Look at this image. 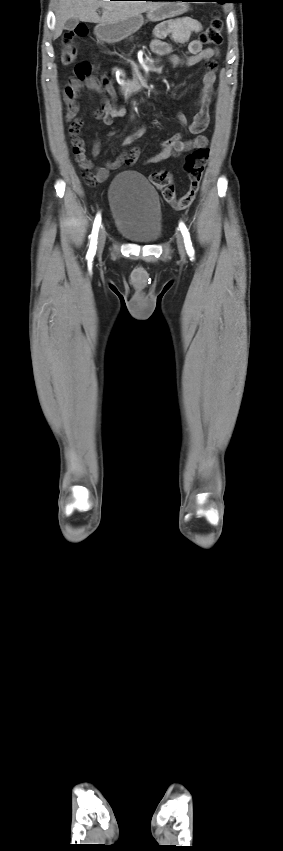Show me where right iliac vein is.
<instances>
[{
    "instance_id": "obj_1",
    "label": "right iliac vein",
    "mask_w": 283,
    "mask_h": 851,
    "mask_svg": "<svg viewBox=\"0 0 283 851\" xmlns=\"http://www.w3.org/2000/svg\"><path fill=\"white\" fill-rule=\"evenodd\" d=\"M105 240H106V232H105L104 228H101V230L99 232L98 244H97V248H98L99 252L103 250Z\"/></svg>"
}]
</instances>
